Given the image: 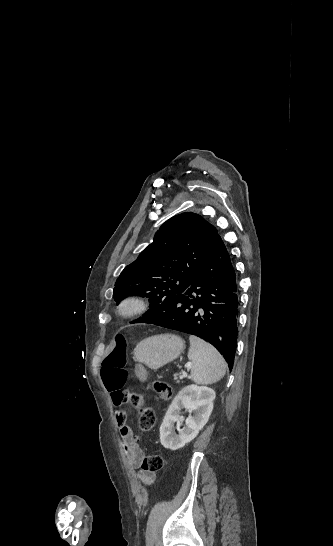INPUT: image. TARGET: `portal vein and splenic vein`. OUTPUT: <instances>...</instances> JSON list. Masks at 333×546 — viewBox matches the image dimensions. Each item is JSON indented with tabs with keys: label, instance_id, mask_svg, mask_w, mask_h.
Here are the masks:
<instances>
[{
	"label": "portal vein and splenic vein",
	"instance_id": "portal-vein-and-splenic-vein-1",
	"mask_svg": "<svg viewBox=\"0 0 333 546\" xmlns=\"http://www.w3.org/2000/svg\"><path fill=\"white\" fill-rule=\"evenodd\" d=\"M186 367H187V368H188V367H191V364H187ZM182 376H187V373H186V372H183V373H182Z\"/></svg>",
	"mask_w": 333,
	"mask_h": 546
}]
</instances>
